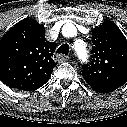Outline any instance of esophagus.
<instances>
[{
  "mask_svg": "<svg viewBox=\"0 0 127 127\" xmlns=\"http://www.w3.org/2000/svg\"><path fill=\"white\" fill-rule=\"evenodd\" d=\"M56 59H57L58 62H65V61L69 60V57L59 54V55H57Z\"/></svg>",
  "mask_w": 127,
  "mask_h": 127,
  "instance_id": "34e87169",
  "label": "esophagus"
}]
</instances>
